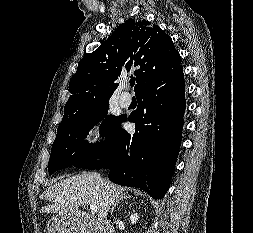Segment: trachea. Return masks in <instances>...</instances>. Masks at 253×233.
I'll return each mask as SVG.
<instances>
[{
    "label": "trachea",
    "mask_w": 253,
    "mask_h": 233,
    "mask_svg": "<svg viewBox=\"0 0 253 233\" xmlns=\"http://www.w3.org/2000/svg\"><path fill=\"white\" fill-rule=\"evenodd\" d=\"M134 84H135V81H134V80H131V81H130V85H131V87H133V86H134Z\"/></svg>",
    "instance_id": "3493384b"
}]
</instances>
